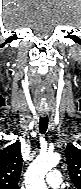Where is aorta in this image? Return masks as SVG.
Wrapping results in <instances>:
<instances>
[{
  "label": "aorta",
  "mask_w": 81,
  "mask_h": 189,
  "mask_svg": "<svg viewBox=\"0 0 81 189\" xmlns=\"http://www.w3.org/2000/svg\"><path fill=\"white\" fill-rule=\"evenodd\" d=\"M60 161L58 153L40 154L28 167L25 174L26 189H47L44 177Z\"/></svg>",
  "instance_id": "aorta-1"
}]
</instances>
